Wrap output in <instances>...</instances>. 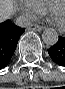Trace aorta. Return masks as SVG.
Here are the masks:
<instances>
[{
	"mask_svg": "<svg viewBox=\"0 0 65 89\" xmlns=\"http://www.w3.org/2000/svg\"><path fill=\"white\" fill-rule=\"evenodd\" d=\"M59 36L55 29L46 28L42 33V40L47 46H53L58 42Z\"/></svg>",
	"mask_w": 65,
	"mask_h": 89,
	"instance_id": "obj_1",
	"label": "aorta"
}]
</instances>
